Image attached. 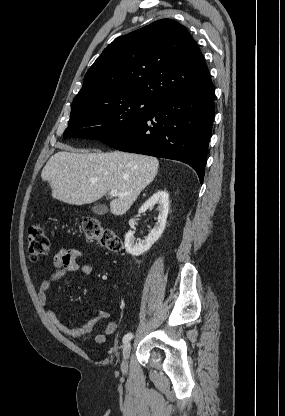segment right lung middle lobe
<instances>
[{
    "mask_svg": "<svg viewBox=\"0 0 285 416\" xmlns=\"http://www.w3.org/2000/svg\"><path fill=\"white\" fill-rule=\"evenodd\" d=\"M157 105L144 98L125 97L71 110L63 136L102 140L137 123Z\"/></svg>",
    "mask_w": 285,
    "mask_h": 416,
    "instance_id": "right-lung-middle-lobe-1",
    "label": "right lung middle lobe"
}]
</instances>
